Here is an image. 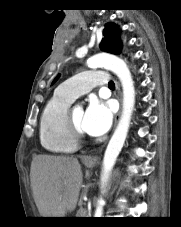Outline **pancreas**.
Segmentation results:
<instances>
[{
	"mask_svg": "<svg viewBox=\"0 0 181 227\" xmlns=\"http://www.w3.org/2000/svg\"><path fill=\"white\" fill-rule=\"evenodd\" d=\"M86 209L80 208L77 212V217H85Z\"/></svg>",
	"mask_w": 181,
	"mask_h": 227,
	"instance_id": "1",
	"label": "pancreas"
}]
</instances>
